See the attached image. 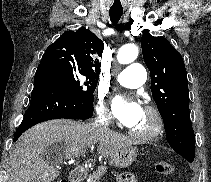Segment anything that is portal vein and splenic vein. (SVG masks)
Masks as SVG:
<instances>
[{"label": "portal vein and splenic vein", "mask_w": 211, "mask_h": 182, "mask_svg": "<svg viewBox=\"0 0 211 182\" xmlns=\"http://www.w3.org/2000/svg\"><path fill=\"white\" fill-rule=\"evenodd\" d=\"M76 153L84 154V153H86V150H81V151H78V152H76ZM71 157H72V156H71ZM71 157L66 156L67 159H69V158H71Z\"/></svg>", "instance_id": "obj_1"}]
</instances>
